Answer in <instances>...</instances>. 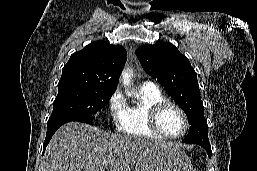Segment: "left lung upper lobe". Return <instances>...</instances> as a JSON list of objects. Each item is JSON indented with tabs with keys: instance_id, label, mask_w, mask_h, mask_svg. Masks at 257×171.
Masks as SVG:
<instances>
[{
	"instance_id": "obj_1",
	"label": "left lung upper lobe",
	"mask_w": 257,
	"mask_h": 171,
	"mask_svg": "<svg viewBox=\"0 0 257 171\" xmlns=\"http://www.w3.org/2000/svg\"><path fill=\"white\" fill-rule=\"evenodd\" d=\"M136 55L146 73L156 79L186 113L190 127L183 142H209L197 74L190 61L168 42L143 45L136 50Z\"/></svg>"
}]
</instances>
